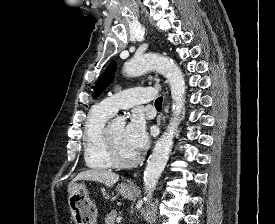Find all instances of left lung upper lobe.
<instances>
[{
    "instance_id": "obj_1",
    "label": "left lung upper lobe",
    "mask_w": 275,
    "mask_h": 224,
    "mask_svg": "<svg viewBox=\"0 0 275 224\" xmlns=\"http://www.w3.org/2000/svg\"><path fill=\"white\" fill-rule=\"evenodd\" d=\"M116 62H112L106 69V71L101 75L94 87L95 97L99 96L105 88L109 86L114 78V73L116 71Z\"/></svg>"
}]
</instances>
